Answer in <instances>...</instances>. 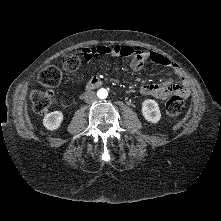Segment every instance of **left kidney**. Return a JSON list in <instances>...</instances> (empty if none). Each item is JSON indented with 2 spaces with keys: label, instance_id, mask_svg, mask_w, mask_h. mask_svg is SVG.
Wrapping results in <instances>:
<instances>
[{
  "label": "left kidney",
  "instance_id": "obj_1",
  "mask_svg": "<svg viewBox=\"0 0 221 221\" xmlns=\"http://www.w3.org/2000/svg\"><path fill=\"white\" fill-rule=\"evenodd\" d=\"M142 115L146 121L156 124L161 119V111L155 100L146 99L142 102Z\"/></svg>",
  "mask_w": 221,
  "mask_h": 221
}]
</instances>
